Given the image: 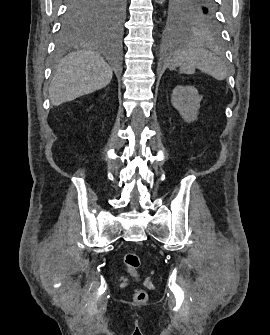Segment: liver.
<instances>
[{
  "mask_svg": "<svg viewBox=\"0 0 270 335\" xmlns=\"http://www.w3.org/2000/svg\"><path fill=\"white\" fill-rule=\"evenodd\" d=\"M113 72L95 50H79L66 56L56 68L49 88L52 106L71 102L108 86Z\"/></svg>",
  "mask_w": 270,
  "mask_h": 335,
  "instance_id": "1",
  "label": "liver"
}]
</instances>
